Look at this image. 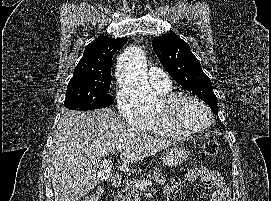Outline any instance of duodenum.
I'll return each instance as SVG.
<instances>
[{"label": "duodenum", "instance_id": "1", "mask_svg": "<svg viewBox=\"0 0 271 201\" xmlns=\"http://www.w3.org/2000/svg\"><path fill=\"white\" fill-rule=\"evenodd\" d=\"M122 181H123L122 175H121V174H116V175L112 178V180L110 181V186H111L112 188H116V187H118V186H120V185L122 184Z\"/></svg>", "mask_w": 271, "mask_h": 201}]
</instances>
